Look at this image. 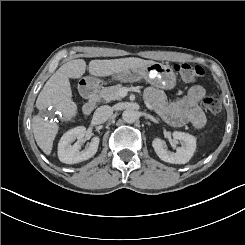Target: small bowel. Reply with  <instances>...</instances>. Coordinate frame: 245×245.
<instances>
[{
  "label": "small bowel",
  "instance_id": "c3829d8e",
  "mask_svg": "<svg viewBox=\"0 0 245 245\" xmlns=\"http://www.w3.org/2000/svg\"><path fill=\"white\" fill-rule=\"evenodd\" d=\"M205 94V89L201 85H194L184 98L168 102L160 89L149 87L145 91V100L169 125L180 127L191 124L199 129L206 124V116L201 108Z\"/></svg>",
  "mask_w": 245,
  "mask_h": 245
}]
</instances>
